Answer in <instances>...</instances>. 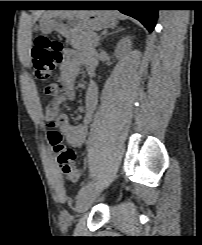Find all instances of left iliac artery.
<instances>
[{
    "label": "left iliac artery",
    "mask_w": 202,
    "mask_h": 245,
    "mask_svg": "<svg viewBox=\"0 0 202 245\" xmlns=\"http://www.w3.org/2000/svg\"><path fill=\"white\" fill-rule=\"evenodd\" d=\"M93 187V183L89 182L87 184H85L78 192V196L81 194H84L86 192H88L91 188Z\"/></svg>",
    "instance_id": "left-iliac-artery-1"
}]
</instances>
